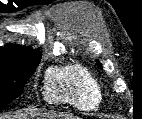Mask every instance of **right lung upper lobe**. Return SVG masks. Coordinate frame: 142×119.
<instances>
[{
	"instance_id": "obj_1",
	"label": "right lung upper lobe",
	"mask_w": 142,
	"mask_h": 119,
	"mask_svg": "<svg viewBox=\"0 0 142 119\" xmlns=\"http://www.w3.org/2000/svg\"><path fill=\"white\" fill-rule=\"evenodd\" d=\"M41 53L28 47L8 44L0 47V68L40 62Z\"/></svg>"
}]
</instances>
